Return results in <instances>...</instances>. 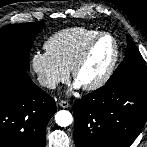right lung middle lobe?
Returning <instances> with one entry per match:
<instances>
[{"label": "right lung middle lobe", "mask_w": 147, "mask_h": 147, "mask_svg": "<svg viewBox=\"0 0 147 147\" xmlns=\"http://www.w3.org/2000/svg\"><path fill=\"white\" fill-rule=\"evenodd\" d=\"M43 27V22H33L0 28V62L10 63L27 71L31 47Z\"/></svg>", "instance_id": "obj_1"}]
</instances>
